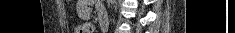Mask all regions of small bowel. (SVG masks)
<instances>
[{"instance_id": "small-bowel-1", "label": "small bowel", "mask_w": 235, "mask_h": 33, "mask_svg": "<svg viewBox=\"0 0 235 33\" xmlns=\"http://www.w3.org/2000/svg\"><path fill=\"white\" fill-rule=\"evenodd\" d=\"M88 7H89V5L87 4L86 1H81V2L78 3V12L80 14H83L88 9ZM95 9H96L99 16L101 14H104V7L101 3H96L95 4Z\"/></svg>"}]
</instances>
